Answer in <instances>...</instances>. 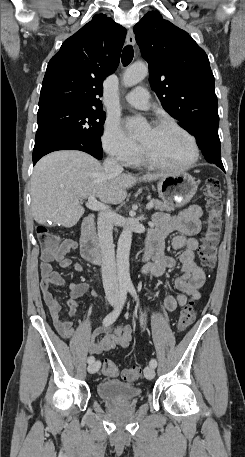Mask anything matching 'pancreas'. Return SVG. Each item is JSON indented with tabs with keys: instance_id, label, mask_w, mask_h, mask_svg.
<instances>
[{
	"instance_id": "pancreas-1",
	"label": "pancreas",
	"mask_w": 245,
	"mask_h": 457,
	"mask_svg": "<svg viewBox=\"0 0 245 457\" xmlns=\"http://www.w3.org/2000/svg\"><path fill=\"white\" fill-rule=\"evenodd\" d=\"M150 202H154L156 210H175L174 202H162V200H157V198H151Z\"/></svg>"
}]
</instances>
